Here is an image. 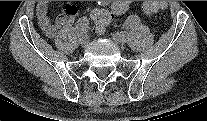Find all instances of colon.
I'll return each mask as SVG.
<instances>
[{"mask_svg":"<svg viewBox=\"0 0 207 121\" xmlns=\"http://www.w3.org/2000/svg\"><path fill=\"white\" fill-rule=\"evenodd\" d=\"M128 7L127 2L119 3L117 6L113 7H100L95 8L91 12V19L94 22L95 28L97 31H102L104 28L111 22L115 9L124 10ZM166 3L163 1H145L142 4V10L147 15H153L159 12L160 10L165 9Z\"/></svg>","mask_w":207,"mask_h":121,"instance_id":"obj_1","label":"colon"}]
</instances>
